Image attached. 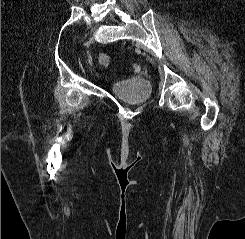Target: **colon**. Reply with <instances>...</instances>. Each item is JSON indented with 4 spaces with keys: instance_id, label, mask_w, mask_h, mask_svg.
I'll return each mask as SVG.
<instances>
[{
    "instance_id": "colon-1",
    "label": "colon",
    "mask_w": 245,
    "mask_h": 239,
    "mask_svg": "<svg viewBox=\"0 0 245 239\" xmlns=\"http://www.w3.org/2000/svg\"><path fill=\"white\" fill-rule=\"evenodd\" d=\"M99 63L102 65V66H108L109 63H110V56L107 55V54H101L99 56Z\"/></svg>"
}]
</instances>
